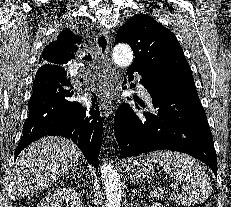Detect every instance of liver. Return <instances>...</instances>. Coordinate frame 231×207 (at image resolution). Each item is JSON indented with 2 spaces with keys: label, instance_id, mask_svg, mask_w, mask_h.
Instances as JSON below:
<instances>
[{
  "label": "liver",
  "instance_id": "1",
  "mask_svg": "<svg viewBox=\"0 0 231 207\" xmlns=\"http://www.w3.org/2000/svg\"><path fill=\"white\" fill-rule=\"evenodd\" d=\"M82 152L71 140L44 137L30 144L18 156L12 172V195H28L64 176L76 166Z\"/></svg>",
  "mask_w": 231,
  "mask_h": 207
}]
</instances>
